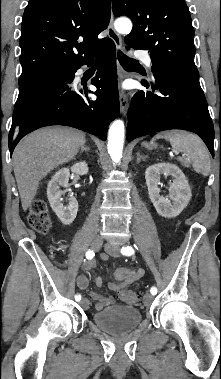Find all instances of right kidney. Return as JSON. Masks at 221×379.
I'll use <instances>...</instances> for the list:
<instances>
[{
  "label": "right kidney",
  "mask_w": 221,
  "mask_h": 379,
  "mask_svg": "<svg viewBox=\"0 0 221 379\" xmlns=\"http://www.w3.org/2000/svg\"><path fill=\"white\" fill-rule=\"evenodd\" d=\"M70 171L77 175H85L88 172V164L81 161L70 168L58 170L52 176L47 186V197L50 206L64 225L71 224L76 218L78 211V202L73 195L67 197L68 204L64 206L62 196L66 193V190H60V187L68 188Z\"/></svg>",
  "instance_id": "ca27d5eb"
}]
</instances>
